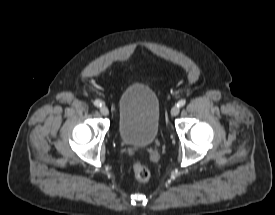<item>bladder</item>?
Returning <instances> with one entry per match:
<instances>
[{
	"instance_id": "1",
	"label": "bladder",
	"mask_w": 275,
	"mask_h": 215,
	"mask_svg": "<svg viewBox=\"0 0 275 215\" xmlns=\"http://www.w3.org/2000/svg\"><path fill=\"white\" fill-rule=\"evenodd\" d=\"M118 134L130 146L147 147L158 135L160 104L156 93L143 84H132L120 95Z\"/></svg>"
}]
</instances>
